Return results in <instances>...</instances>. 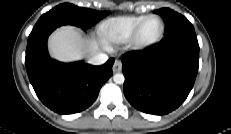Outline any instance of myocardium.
<instances>
[{
  "mask_svg": "<svg viewBox=\"0 0 231 134\" xmlns=\"http://www.w3.org/2000/svg\"><path fill=\"white\" fill-rule=\"evenodd\" d=\"M151 19L159 20L161 24V29L156 37H154L151 40L146 41L142 39V32L147 22ZM164 31H165V24H164L163 19L160 16L155 15V14L148 15L139 23V25L136 27L135 31L133 32L129 40V47L135 51H142V50L149 49L161 40V38L163 37Z\"/></svg>",
  "mask_w": 231,
  "mask_h": 134,
  "instance_id": "1",
  "label": "myocardium"
}]
</instances>
